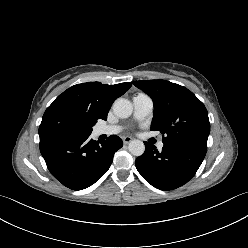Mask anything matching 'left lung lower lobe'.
<instances>
[{"label": "left lung lower lobe", "mask_w": 248, "mask_h": 248, "mask_svg": "<svg viewBox=\"0 0 248 248\" xmlns=\"http://www.w3.org/2000/svg\"><path fill=\"white\" fill-rule=\"evenodd\" d=\"M145 152L135 165L142 177L160 190H173L187 183L197 172L207 147L164 144L162 151L145 142Z\"/></svg>", "instance_id": "left-lung-lower-lobe-1"}]
</instances>
